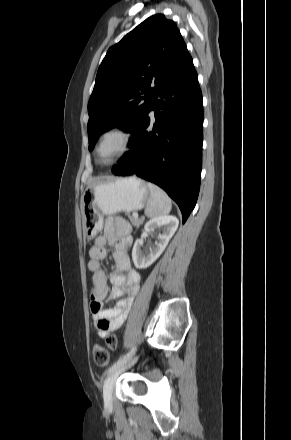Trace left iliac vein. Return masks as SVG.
I'll list each match as a JSON object with an SVG mask.
<instances>
[{"label":"left iliac vein","instance_id":"left-iliac-vein-1","mask_svg":"<svg viewBox=\"0 0 291 440\" xmlns=\"http://www.w3.org/2000/svg\"><path fill=\"white\" fill-rule=\"evenodd\" d=\"M136 360H137V357L133 358L130 363L133 364L136 362ZM123 369H124L123 365L118 367L106 379V382H105V385L103 388V396H104V401L106 404H110L112 401L113 389H114L116 379L119 376V374L123 371Z\"/></svg>","mask_w":291,"mask_h":440}]
</instances>
